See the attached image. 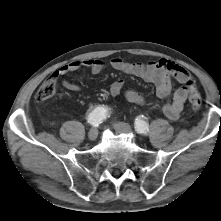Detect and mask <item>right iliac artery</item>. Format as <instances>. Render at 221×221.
I'll list each match as a JSON object with an SVG mask.
<instances>
[{
  "mask_svg": "<svg viewBox=\"0 0 221 221\" xmlns=\"http://www.w3.org/2000/svg\"><path fill=\"white\" fill-rule=\"evenodd\" d=\"M107 117H109L108 109L105 107H97L89 114V116L87 118V122L90 125L97 127Z\"/></svg>",
  "mask_w": 221,
  "mask_h": 221,
  "instance_id": "obj_1",
  "label": "right iliac artery"
}]
</instances>
